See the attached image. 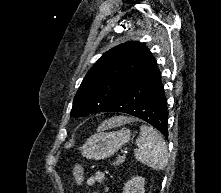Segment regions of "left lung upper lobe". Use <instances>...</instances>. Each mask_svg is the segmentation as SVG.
Listing matches in <instances>:
<instances>
[{"mask_svg":"<svg viewBox=\"0 0 221 193\" xmlns=\"http://www.w3.org/2000/svg\"><path fill=\"white\" fill-rule=\"evenodd\" d=\"M156 64L150 50L131 41L103 54L84 77L71 116L105 112L141 74Z\"/></svg>","mask_w":221,"mask_h":193,"instance_id":"left-lung-upper-lobe-1","label":"left lung upper lobe"}]
</instances>
